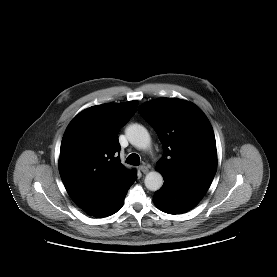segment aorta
Returning a JSON list of instances; mask_svg holds the SVG:
<instances>
[{
	"label": "aorta",
	"instance_id": "aorta-1",
	"mask_svg": "<svg viewBox=\"0 0 277 277\" xmlns=\"http://www.w3.org/2000/svg\"><path fill=\"white\" fill-rule=\"evenodd\" d=\"M128 141L139 149H147L151 145V138L147 129L140 124L129 125L125 130ZM163 177L157 171L149 172L144 180L145 186L150 191H157L163 185Z\"/></svg>",
	"mask_w": 277,
	"mask_h": 277
}]
</instances>
